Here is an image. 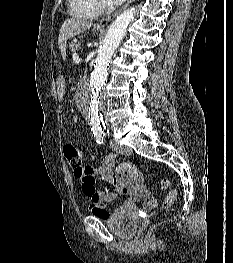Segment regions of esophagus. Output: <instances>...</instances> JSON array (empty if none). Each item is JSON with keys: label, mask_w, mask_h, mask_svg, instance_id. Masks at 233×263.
<instances>
[{"label": "esophagus", "mask_w": 233, "mask_h": 263, "mask_svg": "<svg viewBox=\"0 0 233 263\" xmlns=\"http://www.w3.org/2000/svg\"><path fill=\"white\" fill-rule=\"evenodd\" d=\"M133 2V0H127L126 4L124 6H122L120 9L116 10L114 13H112L111 15L107 16L106 18H103L98 24L97 27L98 28H103L105 27L109 21H111L112 19H114L118 14H120L123 10H125L131 3Z\"/></svg>", "instance_id": "34e87169"}]
</instances>
